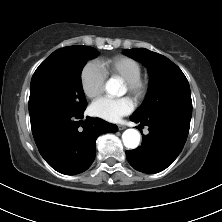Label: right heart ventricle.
<instances>
[{
    "label": "right heart ventricle",
    "mask_w": 222,
    "mask_h": 222,
    "mask_svg": "<svg viewBox=\"0 0 222 222\" xmlns=\"http://www.w3.org/2000/svg\"><path fill=\"white\" fill-rule=\"evenodd\" d=\"M106 75L117 76L124 81L134 80L142 75V66L134 58L117 55L100 61Z\"/></svg>",
    "instance_id": "obj_1"
}]
</instances>
